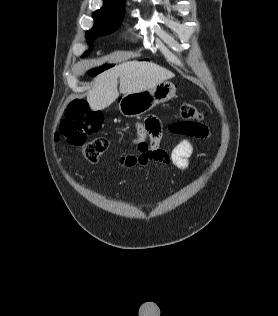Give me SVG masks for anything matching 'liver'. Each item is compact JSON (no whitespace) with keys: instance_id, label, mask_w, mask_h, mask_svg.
I'll return each mask as SVG.
<instances>
[{"instance_id":"liver-1","label":"liver","mask_w":278,"mask_h":316,"mask_svg":"<svg viewBox=\"0 0 278 316\" xmlns=\"http://www.w3.org/2000/svg\"><path fill=\"white\" fill-rule=\"evenodd\" d=\"M174 77L169 70L146 61H129L99 74L87 95L92 110H102L111 105L122 94L138 93Z\"/></svg>"}]
</instances>
